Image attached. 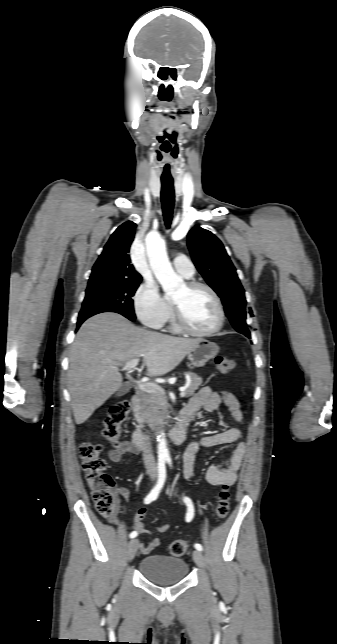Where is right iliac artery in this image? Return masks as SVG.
Listing matches in <instances>:
<instances>
[{
  "mask_svg": "<svg viewBox=\"0 0 337 644\" xmlns=\"http://www.w3.org/2000/svg\"><path fill=\"white\" fill-rule=\"evenodd\" d=\"M166 479V467H165V460L164 459H159L158 461V481L155 487L150 491V493L145 497L144 503L149 504L152 501L156 500ZM137 532L133 531L130 533L129 537L130 538H135L137 536Z\"/></svg>",
  "mask_w": 337,
  "mask_h": 644,
  "instance_id": "right-iliac-artery-1",
  "label": "right iliac artery"
}]
</instances>
